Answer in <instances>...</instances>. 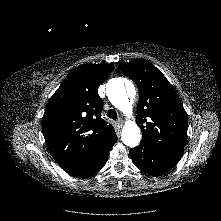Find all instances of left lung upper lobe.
I'll use <instances>...</instances> for the list:
<instances>
[{
	"mask_svg": "<svg viewBox=\"0 0 221 221\" xmlns=\"http://www.w3.org/2000/svg\"><path fill=\"white\" fill-rule=\"evenodd\" d=\"M119 68L140 91L136 122L142 131L141 141L182 154L187 140V114L172 85L144 59L119 64Z\"/></svg>",
	"mask_w": 221,
	"mask_h": 221,
	"instance_id": "left-lung-upper-lobe-1",
	"label": "left lung upper lobe"
}]
</instances>
